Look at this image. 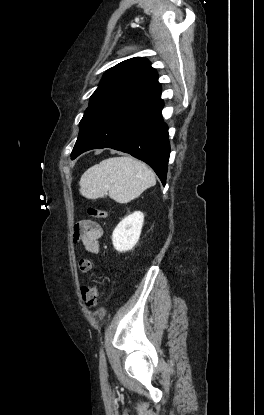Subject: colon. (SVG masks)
<instances>
[{
	"label": "colon",
	"mask_w": 264,
	"mask_h": 415,
	"mask_svg": "<svg viewBox=\"0 0 264 415\" xmlns=\"http://www.w3.org/2000/svg\"><path fill=\"white\" fill-rule=\"evenodd\" d=\"M106 212L97 207H90L88 209V216L90 218H103ZM89 261L86 259L80 260V266L88 270ZM81 295L83 302L89 307L93 308L98 304L99 300V288L97 282H94L91 286H84L81 289Z\"/></svg>",
	"instance_id": "5ec220e1"
}]
</instances>
